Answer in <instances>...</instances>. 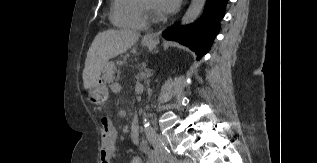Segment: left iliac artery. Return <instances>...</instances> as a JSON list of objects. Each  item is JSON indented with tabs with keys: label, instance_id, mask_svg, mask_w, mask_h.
<instances>
[{
	"label": "left iliac artery",
	"instance_id": "obj_1",
	"mask_svg": "<svg viewBox=\"0 0 317 163\" xmlns=\"http://www.w3.org/2000/svg\"><path fill=\"white\" fill-rule=\"evenodd\" d=\"M168 161L170 162V163H179V161L176 159V158H174V157H168Z\"/></svg>",
	"mask_w": 317,
	"mask_h": 163
}]
</instances>
